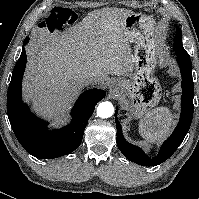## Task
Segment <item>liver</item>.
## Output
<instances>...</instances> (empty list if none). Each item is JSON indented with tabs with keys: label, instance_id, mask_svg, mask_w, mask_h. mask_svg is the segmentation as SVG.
Masks as SVG:
<instances>
[{
	"label": "liver",
	"instance_id": "6515ba94",
	"mask_svg": "<svg viewBox=\"0 0 199 199\" xmlns=\"http://www.w3.org/2000/svg\"><path fill=\"white\" fill-rule=\"evenodd\" d=\"M131 10L103 8L62 33L41 38L29 51L27 96L42 116H60L69 109L85 76L97 84L109 75L130 76L132 50L123 23Z\"/></svg>",
	"mask_w": 199,
	"mask_h": 199
}]
</instances>
